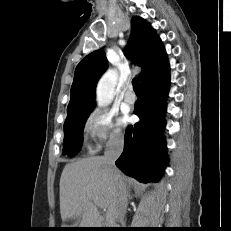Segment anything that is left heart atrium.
<instances>
[{"mask_svg": "<svg viewBox=\"0 0 231 231\" xmlns=\"http://www.w3.org/2000/svg\"><path fill=\"white\" fill-rule=\"evenodd\" d=\"M128 120H129V117H128L127 115H125V116L122 118V122H123V123H126Z\"/></svg>", "mask_w": 231, "mask_h": 231, "instance_id": "1", "label": "left heart atrium"}]
</instances>
